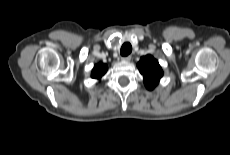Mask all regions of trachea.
<instances>
[{"mask_svg":"<svg viewBox=\"0 0 230 155\" xmlns=\"http://www.w3.org/2000/svg\"><path fill=\"white\" fill-rule=\"evenodd\" d=\"M131 52H132L131 44L128 42L124 43L120 49V54L122 56H128Z\"/></svg>","mask_w":230,"mask_h":155,"instance_id":"3493384b","label":"trachea"}]
</instances>
